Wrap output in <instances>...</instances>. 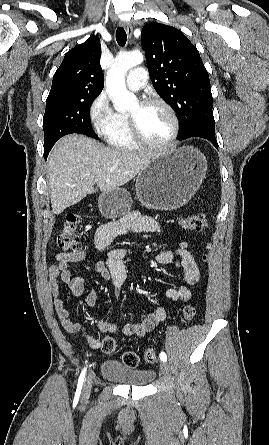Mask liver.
Wrapping results in <instances>:
<instances>
[{"mask_svg":"<svg viewBox=\"0 0 269 445\" xmlns=\"http://www.w3.org/2000/svg\"><path fill=\"white\" fill-rule=\"evenodd\" d=\"M157 155L107 148L82 135L60 139L48 158L47 182L53 212L62 213L97 188L107 192L125 185Z\"/></svg>","mask_w":269,"mask_h":445,"instance_id":"obj_1","label":"liver"}]
</instances>
